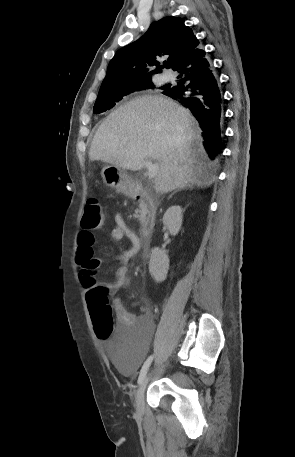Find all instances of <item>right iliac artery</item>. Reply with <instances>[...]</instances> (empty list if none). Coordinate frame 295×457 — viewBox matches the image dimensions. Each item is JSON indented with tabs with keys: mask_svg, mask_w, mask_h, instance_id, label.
Instances as JSON below:
<instances>
[{
	"mask_svg": "<svg viewBox=\"0 0 295 457\" xmlns=\"http://www.w3.org/2000/svg\"><path fill=\"white\" fill-rule=\"evenodd\" d=\"M152 360H153V355L149 356L147 358V360L145 361L144 365L142 366V369L140 371V375H139V378H138V383L139 384H141L143 382V380L145 379L147 370H148Z\"/></svg>",
	"mask_w": 295,
	"mask_h": 457,
	"instance_id": "82829eb1",
	"label": "right iliac artery"
}]
</instances>
